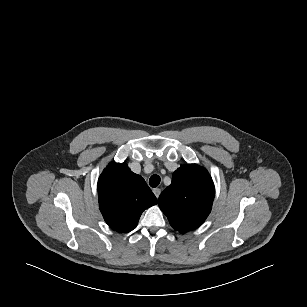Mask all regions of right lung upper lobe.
I'll use <instances>...</instances> for the list:
<instances>
[{
	"instance_id": "1",
	"label": "right lung upper lobe",
	"mask_w": 307,
	"mask_h": 307,
	"mask_svg": "<svg viewBox=\"0 0 307 307\" xmlns=\"http://www.w3.org/2000/svg\"><path fill=\"white\" fill-rule=\"evenodd\" d=\"M97 188L104 220L118 232L133 230L142 212L157 204L145 180L125 163H110L100 175Z\"/></svg>"
}]
</instances>
